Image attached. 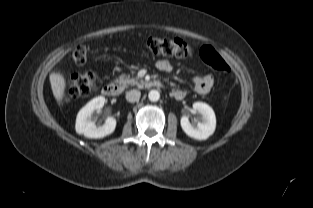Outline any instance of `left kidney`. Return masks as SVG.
Returning <instances> with one entry per match:
<instances>
[{"label":"left kidney","mask_w":313,"mask_h":208,"mask_svg":"<svg viewBox=\"0 0 313 208\" xmlns=\"http://www.w3.org/2000/svg\"><path fill=\"white\" fill-rule=\"evenodd\" d=\"M193 110L202 115V121L198 122L194 127L187 116H182L180 120L183 131L191 138L197 140H206L211 136L216 127V117L213 109L206 103L195 102L193 103Z\"/></svg>","instance_id":"left-kidney-1"}]
</instances>
